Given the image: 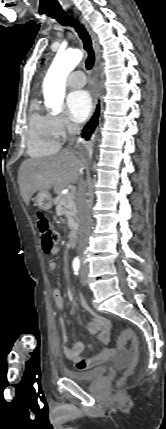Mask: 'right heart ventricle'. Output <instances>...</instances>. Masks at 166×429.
<instances>
[{
	"label": "right heart ventricle",
	"mask_w": 166,
	"mask_h": 429,
	"mask_svg": "<svg viewBox=\"0 0 166 429\" xmlns=\"http://www.w3.org/2000/svg\"><path fill=\"white\" fill-rule=\"evenodd\" d=\"M60 143L54 134L49 115L44 113L39 103L34 100L31 104L29 132L27 137L28 153L32 157H43L58 151Z\"/></svg>",
	"instance_id": "obj_1"
}]
</instances>
